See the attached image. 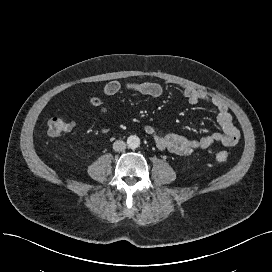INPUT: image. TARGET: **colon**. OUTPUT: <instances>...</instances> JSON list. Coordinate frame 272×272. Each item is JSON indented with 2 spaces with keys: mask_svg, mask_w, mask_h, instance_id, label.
<instances>
[{
  "mask_svg": "<svg viewBox=\"0 0 272 272\" xmlns=\"http://www.w3.org/2000/svg\"><path fill=\"white\" fill-rule=\"evenodd\" d=\"M92 105L99 106L100 103L98 100H93ZM47 126H48L47 132L51 137L61 136L68 132L71 128V125L60 117L50 118L48 120ZM215 158L218 162H226L229 159V155L225 151H218L215 154Z\"/></svg>",
  "mask_w": 272,
  "mask_h": 272,
  "instance_id": "5ec220e1",
  "label": "colon"
}]
</instances>
